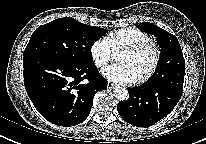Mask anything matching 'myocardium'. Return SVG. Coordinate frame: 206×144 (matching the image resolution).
I'll return each mask as SVG.
<instances>
[{
  "mask_svg": "<svg viewBox=\"0 0 206 144\" xmlns=\"http://www.w3.org/2000/svg\"><path fill=\"white\" fill-rule=\"evenodd\" d=\"M150 50L152 52V62L149 69L141 77L137 78L134 82L142 84L148 81L157 71V68L161 59V50L159 46L153 42H145L135 45H129L121 49L120 52H127L131 54L141 53L143 51Z\"/></svg>",
  "mask_w": 206,
  "mask_h": 144,
  "instance_id": "obj_1",
  "label": "myocardium"
}]
</instances>
